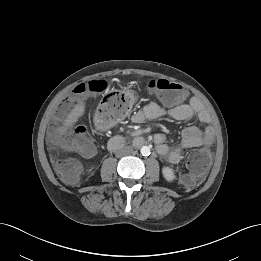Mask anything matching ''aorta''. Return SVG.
Segmentation results:
<instances>
[{"instance_id": "obj_1", "label": "aorta", "mask_w": 261, "mask_h": 261, "mask_svg": "<svg viewBox=\"0 0 261 261\" xmlns=\"http://www.w3.org/2000/svg\"><path fill=\"white\" fill-rule=\"evenodd\" d=\"M140 152L143 156H148L150 154V147L143 146L141 147Z\"/></svg>"}]
</instances>
